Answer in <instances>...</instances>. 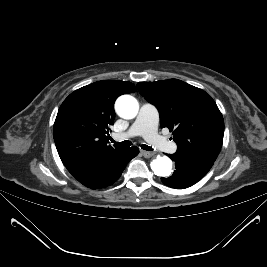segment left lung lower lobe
Returning a JSON list of instances; mask_svg holds the SVG:
<instances>
[{"mask_svg": "<svg viewBox=\"0 0 267 267\" xmlns=\"http://www.w3.org/2000/svg\"><path fill=\"white\" fill-rule=\"evenodd\" d=\"M167 156L175 162L176 170L171 177L161 178V180L165 185L176 189H184L198 182L214 163L213 160L208 158L188 154L180 150Z\"/></svg>", "mask_w": 267, "mask_h": 267, "instance_id": "obj_1", "label": "left lung lower lobe"}]
</instances>
